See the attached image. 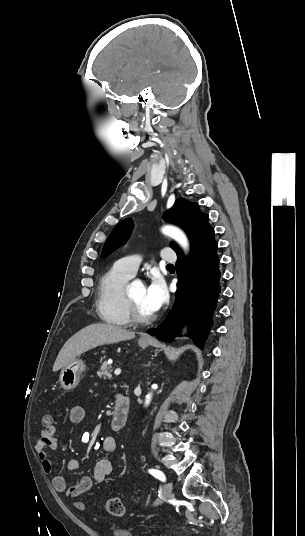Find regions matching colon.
I'll return each mask as SVG.
<instances>
[{
	"label": "colon",
	"instance_id": "5ec220e1",
	"mask_svg": "<svg viewBox=\"0 0 305 536\" xmlns=\"http://www.w3.org/2000/svg\"><path fill=\"white\" fill-rule=\"evenodd\" d=\"M43 425L46 426V427H49L51 426L52 424V416L49 415V414H45L43 416ZM139 501V497L136 496L134 499H133V502L134 503H138ZM72 503L74 504L75 508L78 509L79 512L81 513H84L87 511V504L78 500L77 498H74L72 500ZM106 510L109 514L113 515V516H122L125 512V507L122 503V501L120 500V498L118 497H113V498H110L107 502H106Z\"/></svg>",
	"mask_w": 305,
	"mask_h": 536
}]
</instances>
